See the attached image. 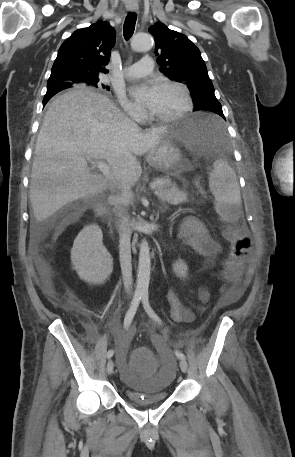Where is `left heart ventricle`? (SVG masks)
<instances>
[{
  "label": "left heart ventricle",
  "mask_w": 295,
  "mask_h": 457,
  "mask_svg": "<svg viewBox=\"0 0 295 457\" xmlns=\"http://www.w3.org/2000/svg\"><path fill=\"white\" fill-rule=\"evenodd\" d=\"M183 105V98L177 88L159 86V94L150 111L159 116L170 115L177 112Z\"/></svg>",
  "instance_id": "obj_1"
}]
</instances>
